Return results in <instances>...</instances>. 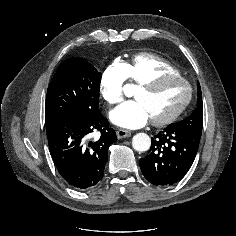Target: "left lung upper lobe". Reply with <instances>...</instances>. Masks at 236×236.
I'll return each instance as SVG.
<instances>
[{"instance_id":"1","label":"left lung upper lobe","mask_w":236,"mask_h":236,"mask_svg":"<svg viewBox=\"0 0 236 236\" xmlns=\"http://www.w3.org/2000/svg\"><path fill=\"white\" fill-rule=\"evenodd\" d=\"M173 127H177L180 129H185L189 131L196 132L198 134L202 133L203 127V104H202V95L201 88L198 83V100H197V108L193 111V113L185 118L184 120L170 124Z\"/></svg>"}]
</instances>
